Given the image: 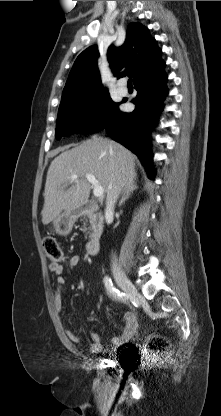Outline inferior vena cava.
<instances>
[{
	"label": "inferior vena cava",
	"instance_id": "1",
	"mask_svg": "<svg viewBox=\"0 0 221 416\" xmlns=\"http://www.w3.org/2000/svg\"><path fill=\"white\" fill-rule=\"evenodd\" d=\"M118 193L119 192H118L117 187L113 185V188L111 189L110 193L107 195L106 209H105L106 216H113L114 205L117 200ZM112 270L114 271L119 270L116 257H114L112 260Z\"/></svg>",
	"mask_w": 221,
	"mask_h": 416
}]
</instances>
